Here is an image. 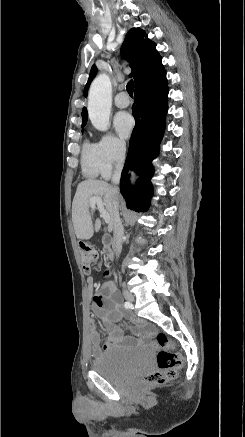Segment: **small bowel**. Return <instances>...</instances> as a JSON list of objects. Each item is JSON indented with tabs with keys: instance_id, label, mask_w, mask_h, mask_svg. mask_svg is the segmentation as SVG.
I'll return each mask as SVG.
<instances>
[{
	"instance_id": "1",
	"label": "small bowel",
	"mask_w": 245,
	"mask_h": 437,
	"mask_svg": "<svg viewBox=\"0 0 245 437\" xmlns=\"http://www.w3.org/2000/svg\"><path fill=\"white\" fill-rule=\"evenodd\" d=\"M87 283L90 288H93L94 282L92 278H88ZM115 292L116 289L112 283H104L101 286L100 291L93 298V317L98 318L103 322L107 332V340L104 343H101L100 335L95 328L94 319L91 320L90 341L92 352L95 356L101 355L103 351H108L121 345H129L134 342V340L131 337L126 336L122 328L117 325V322L124 317V314L118 307ZM133 330L138 336L142 337L150 334L148 326L141 322H137Z\"/></svg>"
}]
</instances>
